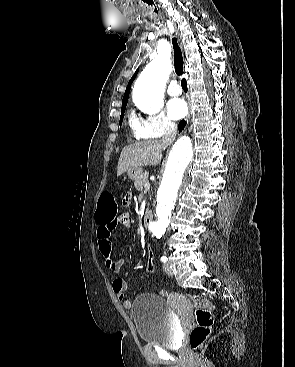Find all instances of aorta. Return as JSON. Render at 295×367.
Here are the masks:
<instances>
[{
  "instance_id": "1",
  "label": "aorta",
  "mask_w": 295,
  "mask_h": 367,
  "mask_svg": "<svg viewBox=\"0 0 295 367\" xmlns=\"http://www.w3.org/2000/svg\"><path fill=\"white\" fill-rule=\"evenodd\" d=\"M170 72L171 63L165 57H157L145 67L133 89V100L140 110L149 114L160 111L164 87ZM192 156L191 139L182 136L169 153L157 191V219L149 225L150 232L157 238L162 237L168 227L176 199L185 183Z\"/></svg>"
}]
</instances>
